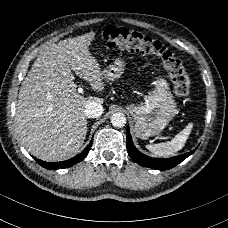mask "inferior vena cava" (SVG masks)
<instances>
[{
	"label": "inferior vena cava",
	"instance_id": "1",
	"mask_svg": "<svg viewBox=\"0 0 228 228\" xmlns=\"http://www.w3.org/2000/svg\"><path fill=\"white\" fill-rule=\"evenodd\" d=\"M84 113L89 118H96L103 113V107L96 101L88 100L84 106Z\"/></svg>",
	"mask_w": 228,
	"mask_h": 228
}]
</instances>
